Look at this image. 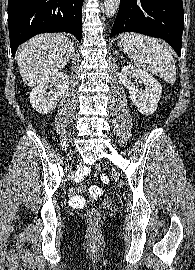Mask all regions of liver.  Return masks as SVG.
<instances>
[{
    "instance_id": "obj_1",
    "label": "liver",
    "mask_w": 195,
    "mask_h": 270,
    "mask_svg": "<svg viewBox=\"0 0 195 270\" xmlns=\"http://www.w3.org/2000/svg\"><path fill=\"white\" fill-rule=\"evenodd\" d=\"M74 51L71 40L62 34L33 37L17 51V64L24 83L33 87L66 66Z\"/></svg>"
}]
</instances>
